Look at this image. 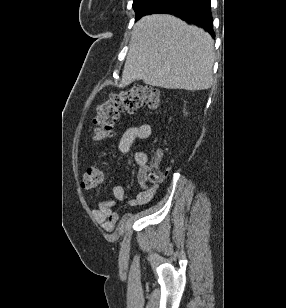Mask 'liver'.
<instances>
[{
  "label": "liver",
  "mask_w": 286,
  "mask_h": 308,
  "mask_svg": "<svg viewBox=\"0 0 286 308\" xmlns=\"http://www.w3.org/2000/svg\"><path fill=\"white\" fill-rule=\"evenodd\" d=\"M214 41L172 15H147L133 27L121 87L142 80L166 89L204 90L213 82Z\"/></svg>",
  "instance_id": "1"
}]
</instances>
